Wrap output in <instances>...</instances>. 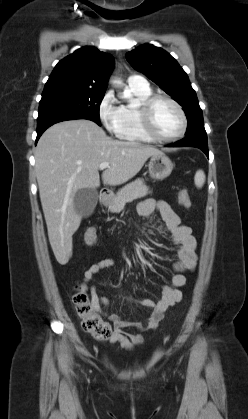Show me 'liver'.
<instances>
[{"instance_id":"6515ba94","label":"liver","mask_w":248,"mask_h":419,"mask_svg":"<svg viewBox=\"0 0 248 419\" xmlns=\"http://www.w3.org/2000/svg\"><path fill=\"white\" fill-rule=\"evenodd\" d=\"M163 154L138 142L114 140L96 123L69 120L47 129L35 149V172L49 242L59 264L72 256V236L81 223L74 209L75 194L83 188L104 184L116 186L133 178L149 157Z\"/></svg>"}]
</instances>
